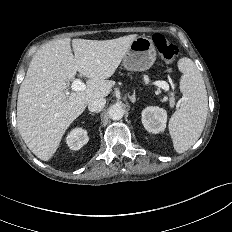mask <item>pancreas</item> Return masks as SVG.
Listing matches in <instances>:
<instances>
[{
	"instance_id": "cf45deb5",
	"label": "pancreas",
	"mask_w": 232,
	"mask_h": 232,
	"mask_svg": "<svg viewBox=\"0 0 232 232\" xmlns=\"http://www.w3.org/2000/svg\"><path fill=\"white\" fill-rule=\"evenodd\" d=\"M170 96H171L170 101L173 102L174 101L173 93H171Z\"/></svg>"
}]
</instances>
